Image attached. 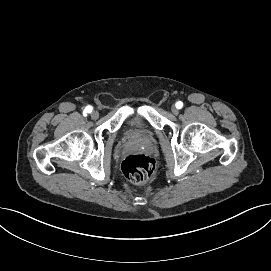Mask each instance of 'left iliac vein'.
Here are the masks:
<instances>
[{"label": "left iliac vein", "mask_w": 271, "mask_h": 271, "mask_svg": "<svg viewBox=\"0 0 271 271\" xmlns=\"http://www.w3.org/2000/svg\"><path fill=\"white\" fill-rule=\"evenodd\" d=\"M171 111H172L173 114L176 115V114H178L179 109L176 106H172Z\"/></svg>", "instance_id": "1"}]
</instances>
